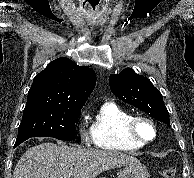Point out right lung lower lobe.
Here are the masks:
<instances>
[{"mask_svg":"<svg viewBox=\"0 0 194 178\" xmlns=\"http://www.w3.org/2000/svg\"><path fill=\"white\" fill-rule=\"evenodd\" d=\"M28 138L26 139H21V140H16L15 142V145H14V148L17 147L19 144H21L22 142H24L25 140H27Z\"/></svg>","mask_w":194,"mask_h":178,"instance_id":"1","label":"right lung lower lobe"}]
</instances>
